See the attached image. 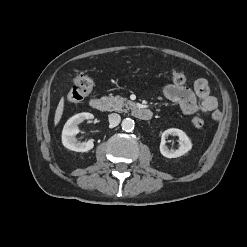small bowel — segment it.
Returning <instances> with one entry per match:
<instances>
[{"label":"small bowel","instance_id":"small-bowel-1","mask_svg":"<svg viewBox=\"0 0 247 247\" xmlns=\"http://www.w3.org/2000/svg\"><path fill=\"white\" fill-rule=\"evenodd\" d=\"M162 96L168 101L179 104L184 115L200 113L211 115L214 119L220 116L217 100L210 94L206 79L196 80L194 90L184 85L168 84L163 88Z\"/></svg>","mask_w":247,"mask_h":247}]
</instances>
